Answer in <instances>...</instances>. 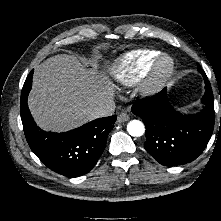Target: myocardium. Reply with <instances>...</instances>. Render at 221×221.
<instances>
[{"mask_svg": "<svg viewBox=\"0 0 221 221\" xmlns=\"http://www.w3.org/2000/svg\"><path fill=\"white\" fill-rule=\"evenodd\" d=\"M174 71V59L168 54H160L143 77L140 93L146 96L156 94L168 84Z\"/></svg>", "mask_w": 221, "mask_h": 221, "instance_id": "myocardium-1", "label": "myocardium"}]
</instances>
